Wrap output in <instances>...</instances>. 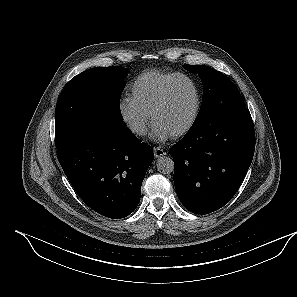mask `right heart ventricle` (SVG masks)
<instances>
[{
  "label": "right heart ventricle",
  "instance_id": "1",
  "mask_svg": "<svg viewBox=\"0 0 297 297\" xmlns=\"http://www.w3.org/2000/svg\"><path fill=\"white\" fill-rule=\"evenodd\" d=\"M177 74L158 70H150L140 74L131 84L130 98L146 114H149L164 86Z\"/></svg>",
  "mask_w": 297,
  "mask_h": 297
}]
</instances>
